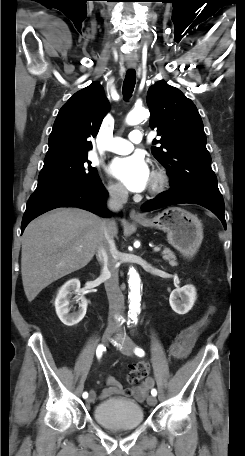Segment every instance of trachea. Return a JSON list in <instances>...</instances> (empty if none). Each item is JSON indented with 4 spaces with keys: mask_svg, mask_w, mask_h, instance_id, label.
Instances as JSON below:
<instances>
[{
    "mask_svg": "<svg viewBox=\"0 0 245 456\" xmlns=\"http://www.w3.org/2000/svg\"><path fill=\"white\" fill-rule=\"evenodd\" d=\"M136 82V73L135 70L130 69L127 71L124 82H123V95L126 99H129L132 96Z\"/></svg>",
    "mask_w": 245,
    "mask_h": 456,
    "instance_id": "3493384b",
    "label": "trachea"
}]
</instances>
